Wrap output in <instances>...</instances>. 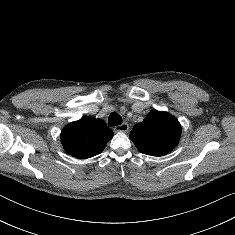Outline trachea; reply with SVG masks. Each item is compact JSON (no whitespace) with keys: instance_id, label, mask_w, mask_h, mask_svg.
I'll return each instance as SVG.
<instances>
[{"instance_id":"3493384b","label":"trachea","mask_w":235,"mask_h":235,"mask_svg":"<svg viewBox=\"0 0 235 235\" xmlns=\"http://www.w3.org/2000/svg\"><path fill=\"white\" fill-rule=\"evenodd\" d=\"M120 124H122L121 116L116 112L111 113L109 115L108 125L109 126H117V125H120Z\"/></svg>"}]
</instances>
